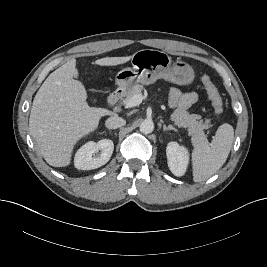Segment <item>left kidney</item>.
Instances as JSON below:
<instances>
[{"instance_id":"1","label":"left kidney","mask_w":267,"mask_h":267,"mask_svg":"<svg viewBox=\"0 0 267 267\" xmlns=\"http://www.w3.org/2000/svg\"><path fill=\"white\" fill-rule=\"evenodd\" d=\"M166 154L170 171L175 176H183L189 164L188 150L177 142H169Z\"/></svg>"}]
</instances>
